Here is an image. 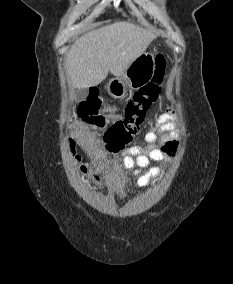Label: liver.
<instances>
[{
  "mask_svg": "<svg viewBox=\"0 0 233 284\" xmlns=\"http://www.w3.org/2000/svg\"><path fill=\"white\" fill-rule=\"evenodd\" d=\"M157 35L129 22L94 29L72 45L66 69L73 89L99 85L110 72L121 76Z\"/></svg>",
  "mask_w": 233,
  "mask_h": 284,
  "instance_id": "obj_1",
  "label": "liver"
}]
</instances>
